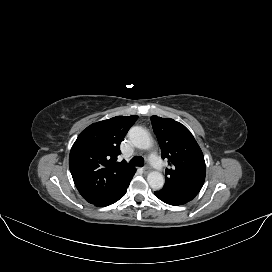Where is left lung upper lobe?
<instances>
[{"label":"left lung upper lobe","mask_w":272,"mask_h":272,"mask_svg":"<svg viewBox=\"0 0 272 272\" xmlns=\"http://www.w3.org/2000/svg\"><path fill=\"white\" fill-rule=\"evenodd\" d=\"M152 127L158 138L166 168L164 187L200 191L205 180L206 166L203 153L190 131L173 119L151 116Z\"/></svg>","instance_id":"left-lung-upper-lobe-1"}]
</instances>
